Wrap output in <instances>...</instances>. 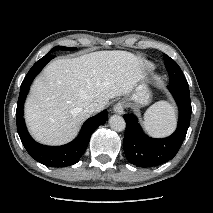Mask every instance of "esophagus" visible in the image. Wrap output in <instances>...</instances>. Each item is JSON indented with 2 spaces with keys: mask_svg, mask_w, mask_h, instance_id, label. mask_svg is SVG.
I'll list each match as a JSON object with an SVG mask.
<instances>
[{
  "mask_svg": "<svg viewBox=\"0 0 213 213\" xmlns=\"http://www.w3.org/2000/svg\"><path fill=\"white\" fill-rule=\"evenodd\" d=\"M124 108H125L124 102L119 101L113 106V111L117 114H123Z\"/></svg>",
  "mask_w": 213,
  "mask_h": 213,
  "instance_id": "obj_1",
  "label": "esophagus"
}]
</instances>
